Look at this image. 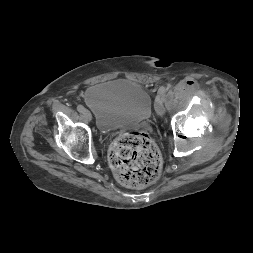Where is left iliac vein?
I'll use <instances>...</instances> for the list:
<instances>
[{"mask_svg":"<svg viewBox=\"0 0 253 253\" xmlns=\"http://www.w3.org/2000/svg\"><path fill=\"white\" fill-rule=\"evenodd\" d=\"M155 111L158 115H162L164 113V106L161 97L158 95L155 100Z\"/></svg>","mask_w":253,"mask_h":253,"instance_id":"1","label":"left iliac vein"}]
</instances>
